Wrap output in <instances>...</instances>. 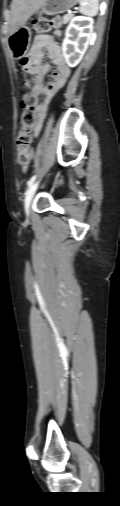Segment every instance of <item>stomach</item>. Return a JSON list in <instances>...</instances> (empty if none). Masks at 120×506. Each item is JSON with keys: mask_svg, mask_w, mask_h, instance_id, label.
<instances>
[{"mask_svg": "<svg viewBox=\"0 0 120 506\" xmlns=\"http://www.w3.org/2000/svg\"><path fill=\"white\" fill-rule=\"evenodd\" d=\"M79 0H45L43 6L37 10V14L41 16L55 15L64 13L77 4ZM31 40V31L26 26L19 27L14 33L8 37V45L11 55L15 59H20L28 52Z\"/></svg>", "mask_w": 120, "mask_h": 506, "instance_id": "obj_1", "label": "stomach"}]
</instances>
